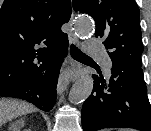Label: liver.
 I'll use <instances>...</instances> for the list:
<instances>
[{"label": "liver", "mask_w": 151, "mask_h": 131, "mask_svg": "<svg viewBox=\"0 0 151 131\" xmlns=\"http://www.w3.org/2000/svg\"><path fill=\"white\" fill-rule=\"evenodd\" d=\"M32 111H34V108L28 103L15 100H0V127L7 121Z\"/></svg>", "instance_id": "liver-1"}]
</instances>
